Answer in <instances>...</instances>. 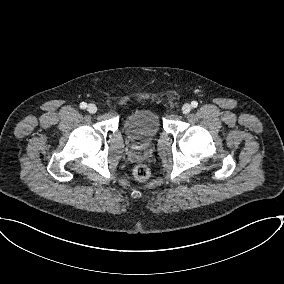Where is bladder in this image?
<instances>
[{
    "mask_svg": "<svg viewBox=\"0 0 284 284\" xmlns=\"http://www.w3.org/2000/svg\"><path fill=\"white\" fill-rule=\"evenodd\" d=\"M161 123L158 114L149 108L131 112L124 120V130L137 147L149 145L158 135Z\"/></svg>",
    "mask_w": 284,
    "mask_h": 284,
    "instance_id": "1",
    "label": "bladder"
}]
</instances>
